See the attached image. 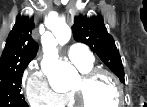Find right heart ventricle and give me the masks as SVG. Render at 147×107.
Segmentation results:
<instances>
[{
	"label": "right heart ventricle",
	"instance_id": "right-heart-ventricle-1",
	"mask_svg": "<svg viewBox=\"0 0 147 107\" xmlns=\"http://www.w3.org/2000/svg\"><path fill=\"white\" fill-rule=\"evenodd\" d=\"M77 67L80 71L85 72L92 68V64L87 65V66H77ZM60 105L67 106V107H73L74 101H73L72 95L70 93L64 94Z\"/></svg>",
	"mask_w": 147,
	"mask_h": 107
}]
</instances>
